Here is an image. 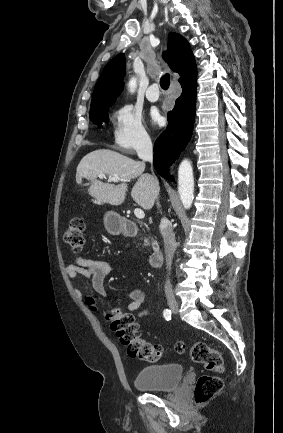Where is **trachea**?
I'll return each mask as SVG.
<instances>
[{
  "label": "trachea",
  "mask_w": 283,
  "mask_h": 433,
  "mask_svg": "<svg viewBox=\"0 0 283 433\" xmlns=\"http://www.w3.org/2000/svg\"><path fill=\"white\" fill-rule=\"evenodd\" d=\"M169 85H170V75L169 73H166L160 79V86L163 90H168Z\"/></svg>",
  "instance_id": "3493384b"
}]
</instances>
